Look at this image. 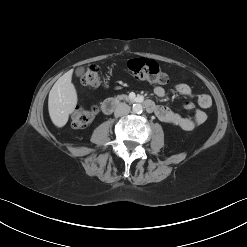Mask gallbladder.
Wrapping results in <instances>:
<instances>
[{
  "mask_svg": "<svg viewBox=\"0 0 247 247\" xmlns=\"http://www.w3.org/2000/svg\"><path fill=\"white\" fill-rule=\"evenodd\" d=\"M83 73H84V69H83L82 67H80V68H78V69L76 70V74H77L78 76L82 75Z\"/></svg>",
  "mask_w": 247,
  "mask_h": 247,
  "instance_id": "gallbladder-1",
  "label": "gallbladder"
}]
</instances>
